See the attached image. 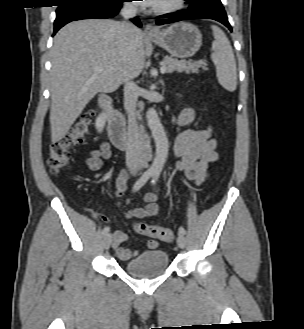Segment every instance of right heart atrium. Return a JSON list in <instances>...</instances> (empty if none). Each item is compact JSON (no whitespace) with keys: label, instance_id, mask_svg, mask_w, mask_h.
Returning a JSON list of instances; mask_svg holds the SVG:
<instances>
[{"label":"right heart atrium","instance_id":"obj_1","mask_svg":"<svg viewBox=\"0 0 304 329\" xmlns=\"http://www.w3.org/2000/svg\"><path fill=\"white\" fill-rule=\"evenodd\" d=\"M132 2H135V1H132ZM131 9H132V10H135V9H136V7H131Z\"/></svg>","mask_w":304,"mask_h":329}]
</instances>
